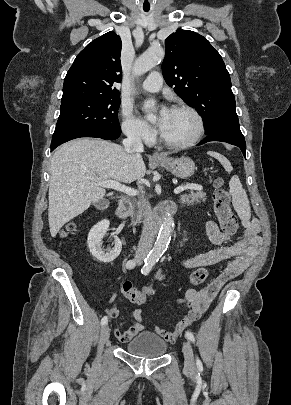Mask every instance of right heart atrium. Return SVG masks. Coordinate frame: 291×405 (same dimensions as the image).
Here are the masks:
<instances>
[{
  "instance_id": "d8ad5b80",
  "label": "right heart atrium",
  "mask_w": 291,
  "mask_h": 405,
  "mask_svg": "<svg viewBox=\"0 0 291 405\" xmlns=\"http://www.w3.org/2000/svg\"><path fill=\"white\" fill-rule=\"evenodd\" d=\"M121 128L132 140L150 143L154 139V132L127 108L121 110Z\"/></svg>"
}]
</instances>
